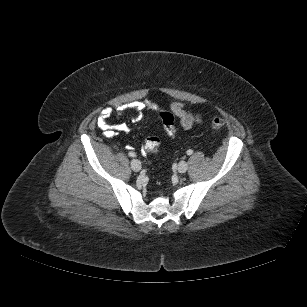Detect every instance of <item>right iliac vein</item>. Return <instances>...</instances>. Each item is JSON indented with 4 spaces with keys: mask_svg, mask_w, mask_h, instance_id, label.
<instances>
[{
    "mask_svg": "<svg viewBox=\"0 0 307 307\" xmlns=\"http://www.w3.org/2000/svg\"><path fill=\"white\" fill-rule=\"evenodd\" d=\"M131 168L133 171L138 172L141 170V162L137 159L131 161Z\"/></svg>",
    "mask_w": 307,
    "mask_h": 307,
    "instance_id": "63e3f726",
    "label": "right iliac vein"
}]
</instances>
